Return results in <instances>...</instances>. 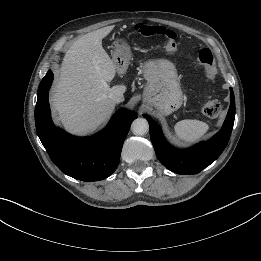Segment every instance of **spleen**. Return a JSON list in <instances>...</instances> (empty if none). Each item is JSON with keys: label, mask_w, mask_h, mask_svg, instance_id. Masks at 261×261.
<instances>
[{"label": "spleen", "mask_w": 261, "mask_h": 261, "mask_svg": "<svg viewBox=\"0 0 261 261\" xmlns=\"http://www.w3.org/2000/svg\"><path fill=\"white\" fill-rule=\"evenodd\" d=\"M174 129L179 139L191 143L203 137L209 125L199 120L185 119L177 122Z\"/></svg>", "instance_id": "1"}]
</instances>
